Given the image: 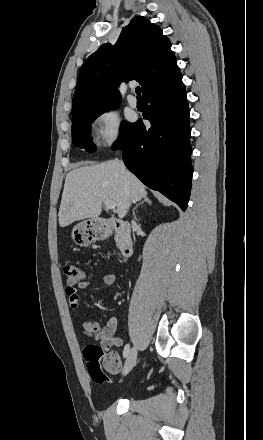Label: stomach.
I'll list each match as a JSON object with an SVG mask.
<instances>
[{
	"label": "stomach",
	"mask_w": 263,
	"mask_h": 440,
	"mask_svg": "<svg viewBox=\"0 0 263 440\" xmlns=\"http://www.w3.org/2000/svg\"><path fill=\"white\" fill-rule=\"evenodd\" d=\"M99 236L96 221L93 219L85 220L75 226L73 238L82 243H89L90 240L97 239Z\"/></svg>",
	"instance_id": "stomach-1"
}]
</instances>
